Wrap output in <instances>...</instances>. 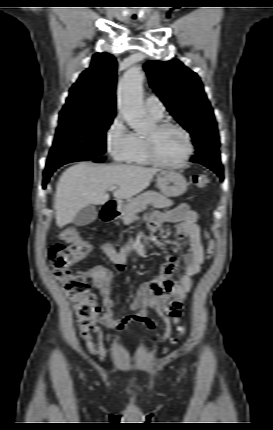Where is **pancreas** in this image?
<instances>
[{
    "instance_id": "1",
    "label": "pancreas",
    "mask_w": 273,
    "mask_h": 430,
    "mask_svg": "<svg viewBox=\"0 0 273 430\" xmlns=\"http://www.w3.org/2000/svg\"><path fill=\"white\" fill-rule=\"evenodd\" d=\"M149 204L155 208H165L172 206L173 202L155 190L146 191L124 206L122 216L124 224H131L136 219L137 213L145 210Z\"/></svg>"
}]
</instances>
